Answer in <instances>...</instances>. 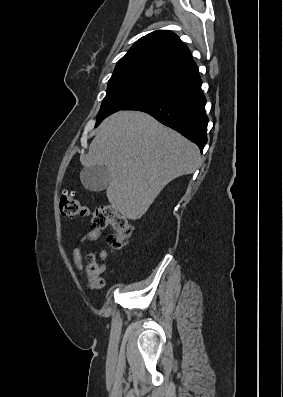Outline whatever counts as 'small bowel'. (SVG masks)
<instances>
[{"label": "small bowel", "mask_w": 283, "mask_h": 397, "mask_svg": "<svg viewBox=\"0 0 283 397\" xmlns=\"http://www.w3.org/2000/svg\"><path fill=\"white\" fill-rule=\"evenodd\" d=\"M103 238V234L100 230L98 229H91L85 232H79L75 236L73 243L74 247L72 250V257L75 266L77 269H81L82 266V247L83 245L88 242V241H98ZM105 268H101L100 271L103 272Z\"/></svg>", "instance_id": "c3829d8e"}]
</instances>
